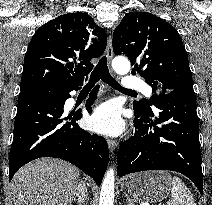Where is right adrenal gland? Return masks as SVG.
Listing matches in <instances>:
<instances>
[{"label": "right adrenal gland", "instance_id": "2a0ac1e0", "mask_svg": "<svg viewBox=\"0 0 212 205\" xmlns=\"http://www.w3.org/2000/svg\"><path fill=\"white\" fill-rule=\"evenodd\" d=\"M86 199H87V190L85 184L82 181H80L73 201L78 202L79 205H82L83 203H85Z\"/></svg>", "mask_w": 212, "mask_h": 205}]
</instances>
